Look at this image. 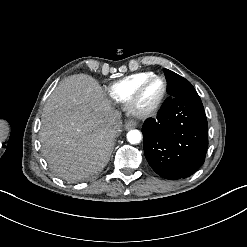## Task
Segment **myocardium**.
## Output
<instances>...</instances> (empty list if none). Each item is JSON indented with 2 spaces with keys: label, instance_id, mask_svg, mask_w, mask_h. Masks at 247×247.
I'll return each mask as SVG.
<instances>
[{
  "label": "myocardium",
  "instance_id": "1",
  "mask_svg": "<svg viewBox=\"0 0 247 247\" xmlns=\"http://www.w3.org/2000/svg\"><path fill=\"white\" fill-rule=\"evenodd\" d=\"M152 80H160V81H162L163 84H164V91H163V94L161 95V97L159 98V100L156 103H154L150 107L143 108L139 104L141 92H142V89L144 88V86L148 82H150ZM168 92H169V86H168L167 79L164 76L157 75V74L150 75V76L146 77L145 79H143L142 81H140L135 86L132 94L130 95V97L128 98V100L125 103V110L130 115H132V116H134L136 118H139V119L149 118V117L153 116L154 114H156L158 112L160 107L165 102V100L167 98V95H168Z\"/></svg>",
  "mask_w": 247,
  "mask_h": 247
}]
</instances>
